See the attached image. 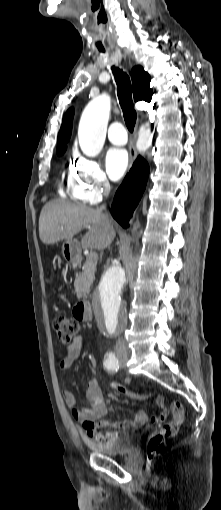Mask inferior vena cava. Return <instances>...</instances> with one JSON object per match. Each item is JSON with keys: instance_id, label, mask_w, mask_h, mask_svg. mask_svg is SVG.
<instances>
[{"instance_id": "obj_1", "label": "inferior vena cava", "mask_w": 221, "mask_h": 510, "mask_svg": "<svg viewBox=\"0 0 221 510\" xmlns=\"http://www.w3.org/2000/svg\"><path fill=\"white\" fill-rule=\"evenodd\" d=\"M110 193V186L109 185H106L105 186V190H104V195L105 196H108ZM106 209V206L103 204L101 205L99 208H97V211L100 212L102 214V217L103 219L105 220V222L107 224H109V218H108V215L103 213V211ZM115 350L116 352H124L127 350V347H126V343H125V340L123 339V337H120L118 338L117 342H116V347H115Z\"/></svg>"}]
</instances>
